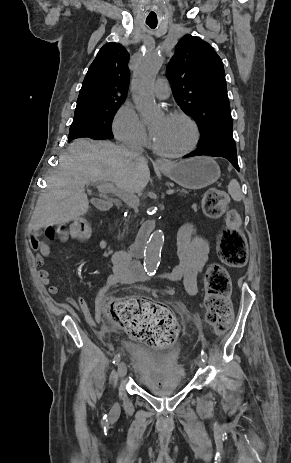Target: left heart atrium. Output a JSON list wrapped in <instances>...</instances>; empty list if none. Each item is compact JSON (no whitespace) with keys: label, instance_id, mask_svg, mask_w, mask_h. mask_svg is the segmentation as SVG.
<instances>
[{"label":"left heart atrium","instance_id":"left-heart-atrium-1","mask_svg":"<svg viewBox=\"0 0 291 463\" xmlns=\"http://www.w3.org/2000/svg\"><path fill=\"white\" fill-rule=\"evenodd\" d=\"M165 120H167V118H165ZM160 129H161V125L155 126V127L152 128L151 134H152V137H153V138L156 137V136L158 135Z\"/></svg>","mask_w":291,"mask_h":463}]
</instances>
